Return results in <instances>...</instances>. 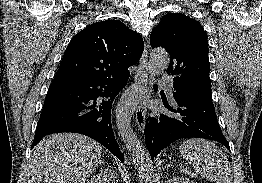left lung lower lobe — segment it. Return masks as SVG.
I'll return each mask as SVG.
<instances>
[{
    "mask_svg": "<svg viewBox=\"0 0 262 183\" xmlns=\"http://www.w3.org/2000/svg\"><path fill=\"white\" fill-rule=\"evenodd\" d=\"M173 97L172 107L164 103L168 114H161L157 119L151 117L146 122L145 142L152 160L163 148L181 138L214 140L230 150L217 122L212 99L183 96L177 92L173 93Z\"/></svg>",
    "mask_w": 262,
    "mask_h": 183,
    "instance_id": "left-lung-lower-lobe-1",
    "label": "left lung lower lobe"
}]
</instances>
